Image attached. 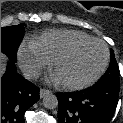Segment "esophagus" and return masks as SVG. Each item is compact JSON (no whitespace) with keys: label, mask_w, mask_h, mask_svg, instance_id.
<instances>
[{"label":"esophagus","mask_w":123,"mask_h":123,"mask_svg":"<svg viewBox=\"0 0 123 123\" xmlns=\"http://www.w3.org/2000/svg\"><path fill=\"white\" fill-rule=\"evenodd\" d=\"M50 93H51V91L48 90V89H41L40 90V97L42 98V97H44V96H46V95H48Z\"/></svg>","instance_id":"34e87169"}]
</instances>
